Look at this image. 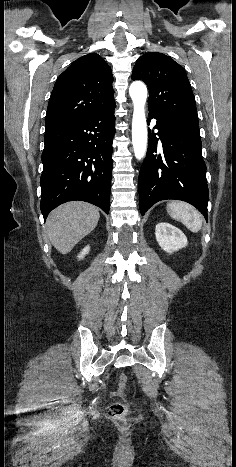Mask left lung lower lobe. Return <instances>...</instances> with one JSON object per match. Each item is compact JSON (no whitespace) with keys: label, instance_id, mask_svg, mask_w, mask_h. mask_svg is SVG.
Listing matches in <instances>:
<instances>
[{"label":"left lung lower lobe","instance_id":"left-lung-lower-lobe-1","mask_svg":"<svg viewBox=\"0 0 236 467\" xmlns=\"http://www.w3.org/2000/svg\"><path fill=\"white\" fill-rule=\"evenodd\" d=\"M153 118L159 132L149 130L148 150L139 173L141 214L160 200L177 199L195 206L207 220L209 191L198 116L149 111L148 125Z\"/></svg>","mask_w":236,"mask_h":467}]
</instances>
